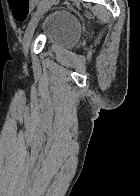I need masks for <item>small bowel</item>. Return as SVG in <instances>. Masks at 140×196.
I'll use <instances>...</instances> for the list:
<instances>
[{
  "label": "small bowel",
  "mask_w": 140,
  "mask_h": 196,
  "mask_svg": "<svg viewBox=\"0 0 140 196\" xmlns=\"http://www.w3.org/2000/svg\"><path fill=\"white\" fill-rule=\"evenodd\" d=\"M34 3L37 2V0H32Z\"/></svg>",
  "instance_id": "small-bowel-1"
}]
</instances>
